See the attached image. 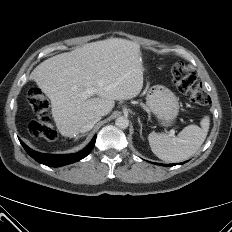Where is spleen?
<instances>
[{
    "label": "spleen",
    "instance_id": "spleen-1",
    "mask_svg": "<svg viewBox=\"0 0 232 232\" xmlns=\"http://www.w3.org/2000/svg\"><path fill=\"white\" fill-rule=\"evenodd\" d=\"M200 124L201 127L186 126L175 138L162 133H150L148 141L152 152L166 162H180L191 157L206 139L210 125L209 117L205 116Z\"/></svg>",
    "mask_w": 232,
    "mask_h": 232
}]
</instances>
